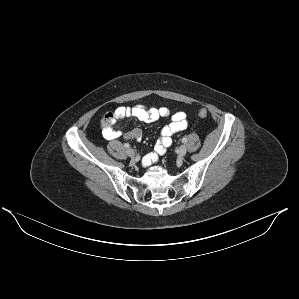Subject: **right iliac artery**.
<instances>
[{"instance_id": "obj_1", "label": "right iliac artery", "mask_w": 299, "mask_h": 299, "mask_svg": "<svg viewBox=\"0 0 299 299\" xmlns=\"http://www.w3.org/2000/svg\"><path fill=\"white\" fill-rule=\"evenodd\" d=\"M124 147H125V148H129V147H130V144H129V143H125V144H124Z\"/></svg>"}]
</instances>
